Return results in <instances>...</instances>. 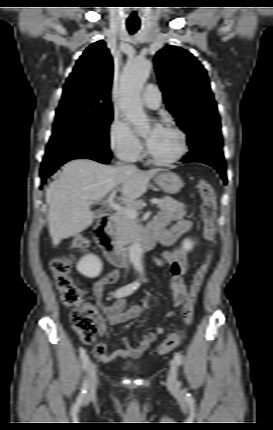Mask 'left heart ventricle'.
Instances as JSON below:
<instances>
[{"label":"left heart ventricle","instance_id":"1","mask_svg":"<svg viewBox=\"0 0 273 430\" xmlns=\"http://www.w3.org/2000/svg\"><path fill=\"white\" fill-rule=\"evenodd\" d=\"M151 131L147 134L150 135ZM151 153L160 159L173 157L179 149L178 136L165 128H160L153 144L149 147Z\"/></svg>","mask_w":273,"mask_h":430}]
</instances>
